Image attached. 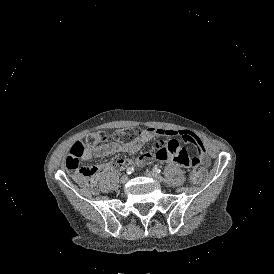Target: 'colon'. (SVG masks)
I'll return each mask as SVG.
<instances>
[{"mask_svg":"<svg viewBox=\"0 0 274 274\" xmlns=\"http://www.w3.org/2000/svg\"><path fill=\"white\" fill-rule=\"evenodd\" d=\"M138 129L135 127H129L125 129L116 130L114 137L121 142H132L137 138ZM106 135L104 132H98L90 135L84 141H80L79 145L71 147L69 155L64 160V166L67 170L72 173H77L79 177L85 178L95 175L99 168L96 166H85L81 163V157L84 153L85 147H90L96 142H105ZM206 173L200 168L190 169L188 174V180L192 185H198L204 181Z\"/></svg>","mask_w":274,"mask_h":274,"instance_id":"colon-1","label":"colon"}]
</instances>
